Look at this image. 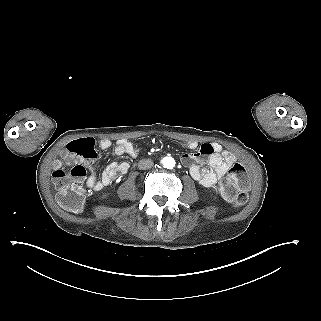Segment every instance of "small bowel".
<instances>
[{"instance_id": "obj_1", "label": "small bowel", "mask_w": 321, "mask_h": 321, "mask_svg": "<svg viewBox=\"0 0 321 321\" xmlns=\"http://www.w3.org/2000/svg\"><path fill=\"white\" fill-rule=\"evenodd\" d=\"M182 145L190 150L198 148L196 152L183 154L181 161L189 168L191 177L206 187H214L236 160L232 153L224 151L218 143H205L198 147L196 141L188 140L184 141ZM99 146L106 150L111 148L112 142L109 139H101ZM112 152L115 156L136 157L138 148L126 139H119L115 142ZM203 160L206 163L201 165ZM86 167L90 172L87 185L93 190L99 191L116 178L124 175L128 171L129 165L127 162H111L105 166L99 176L90 161L86 162Z\"/></svg>"}]
</instances>
